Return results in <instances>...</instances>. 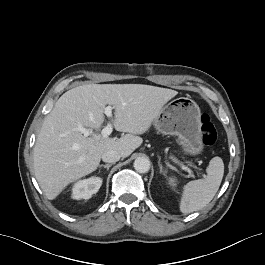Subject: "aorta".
<instances>
[{"label": "aorta", "mask_w": 265, "mask_h": 265, "mask_svg": "<svg viewBox=\"0 0 265 265\" xmlns=\"http://www.w3.org/2000/svg\"><path fill=\"white\" fill-rule=\"evenodd\" d=\"M134 169L139 173H147L150 169V161L147 157H138L134 161Z\"/></svg>", "instance_id": "1"}]
</instances>
